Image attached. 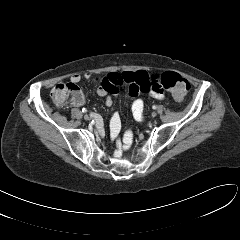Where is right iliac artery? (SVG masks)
<instances>
[{
	"mask_svg": "<svg viewBox=\"0 0 240 240\" xmlns=\"http://www.w3.org/2000/svg\"><path fill=\"white\" fill-rule=\"evenodd\" d=\"M82 112H83V113H86V112H87V109H86V108H83V109H82Z\"/></svg>",
	"mask_w": 240,
	"mask_h": 240,
	"instance_id": "obj_1",
	"label": "right iliac artery"
}]
</instances>
